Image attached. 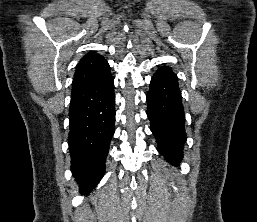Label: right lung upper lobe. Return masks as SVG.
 I'll use <instances>...</instances> for the list:
<instances>
[{
  "mask_svg": "<svg viewBox=\"0 0 257 222\" xmlns=\"http://www.w3.org/2000/svg\"><path fill=\"white\" fill-rule=\"evenodd\" d=\"M110 73L108 62L99 54L87 53L77 64L72 93L85 89Z\"/></svg>",
  "mask_w": 257,
  "mask_h": 222,
  "instance_id": "cb5924a9",
  "label": "right lung upper lobe"
}]
</instances>
